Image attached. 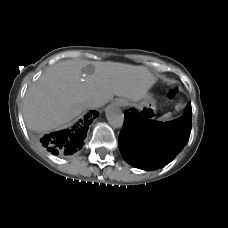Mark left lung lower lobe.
Here are the masks:
<instances>
[{
	"label": "left lung lower lobe",
	"mask_w": 228,
	"mask_h": 228,
	"mask_svg": "<svg viewBox=\"0 0 228 228\" xmlns=\"http://www.w3.org/2000/svg\"><path fill=\"white\" fill-rule=\"evenodd\" d=\"M119 135L120 152L130 165L153 170L167 165L187 144L191 132L192 109L170 122H156L127 110Z\"/></svg>",
	"instance_id": "obj_1"
}]
</instances>
